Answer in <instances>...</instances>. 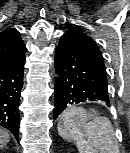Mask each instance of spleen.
I'll return each mask as SVG.
<instances>
[{
  "instance_id": "obj_1",
  "label": "spleen",
  "mask_w": 130,
  "mask_h": 153,
  "mask_svg": "<svg viewBox=\"0 0 130 153\" xmlns=\"http://www.w3.org/2000/svg\"><path fill=\"white\" fill-rule=\"evenodd\" d=\"M58 132L75 142L79 153H119L110 120L99 115L91 118L81 107H71L60 116Z\"/></svg>"
}]
</instances>
